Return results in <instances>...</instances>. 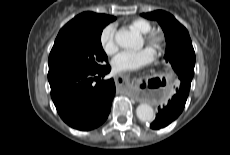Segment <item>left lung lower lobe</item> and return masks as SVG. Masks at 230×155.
I'll use <instances>...</instances> for the list:
<instances>
[{
	"label": "left lung lower lobe",
	"instance_id": "obj_1",
	"mask_svg": "<svg viewBox=\"0 0 230 155\" xmlns=\"http://www.w3.org/2000/svg\"><path fill=\"white\" fill-rule=\"evenodd\" d=\"M191 81L186 78L180 79V85L176 87L172 99L168 101L166 106L158 107L156 119L150 124L152 129L166 127L181 114L189 95Z\"/></svg>",
	"mask_w": 230,
	"mask_h": 155
}]
</instances>
